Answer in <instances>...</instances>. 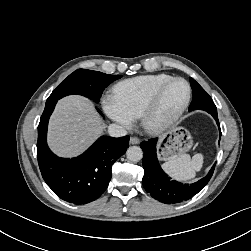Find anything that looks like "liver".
I'll return each mask as SVG.
<instances>
[{"mask_svg":"<svg viewBox=\"0 0 251 251\" xmlns=\"http://www.w3.org/2000/svg\"><path fill=\"white\" fill-rule=\"evenodd\" d=\"M105 125L92 101L70 95L58 101L48 127V144L62 157H74L103 133Z\"/></svg>","mask_w":251,"mask_h":251,"instance_id":"liver-1","label":"liver"}]
</instances>
